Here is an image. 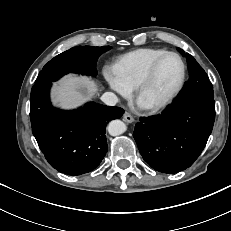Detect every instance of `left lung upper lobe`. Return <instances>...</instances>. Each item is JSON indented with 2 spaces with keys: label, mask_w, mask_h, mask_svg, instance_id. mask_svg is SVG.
<instances>
[{
  "label": "left lung upper lobe",
  "mask_w": 231,
  "mask_h": 231,
  "mask_svg": "<svg viewBox=\"0 0 231 231\" xmlns=\"http://www.w3.org/2000/svg\"><path fill=\"white\" fill-rule=\"evenodd\" d=\"M177 50L186 57L190 76L176 99L189 96L214 98L213 86L203 68L197 63L193 56L188 53L185 54L180 48H177Z\"/></svg>",
  "instance_id": "obj_1"
}]
</instances>
